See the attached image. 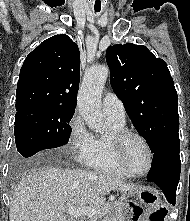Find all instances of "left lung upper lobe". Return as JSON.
<instances>
[{
	"instance_id": "5c2ea615",
	"label": "left lung upper lobe",
	"mask_w": 190,
	"mask_h": 221,
	"mask_svg": "<svg viewBox=\"0 0 190 221\" xmlns=\"http://www.w3.org/2000/svg\"><path fill=\"white\" fill-rule=\"evenodd\" d=\"M106 59L111 86L152 153L179 139L178 97L166 63L133 43L109 46Z\"/></svg>"
}]
</instances>
